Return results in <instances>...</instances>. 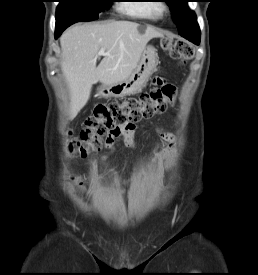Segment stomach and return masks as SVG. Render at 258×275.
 Instances as JSON below:
<instances>
[{"instance_id": "0dacf381", "label": "stomach", "mask_w": 258, "mask_h": 275, "mask_svg": "<svg viewBox=\"0 0 258 275\" xmlns=\"http://www.w3.org/2000/svg\"><path fill=\"white\" fill-rule=\"evenodd\" d=\"M157 59L156 49L153 46H147L131 74L126 79L113 85L99 87L97 96L103 98L124 97L139 92L155 71Z\"/></svg>"}]
</instances>
